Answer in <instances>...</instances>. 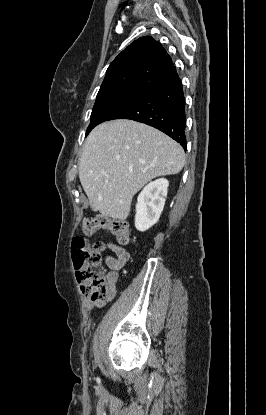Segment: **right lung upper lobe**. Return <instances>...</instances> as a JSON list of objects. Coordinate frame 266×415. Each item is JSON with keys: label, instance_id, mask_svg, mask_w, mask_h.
Listing matches in <instances>:
<instances>
[{"label": "right lung upper lobe", "instance_id": "cb5924a9", "mask_svg": "<svg viewBox=\"0 0 266 415\" xmlns=\"http://www.w3.org/2000/svg\"><path fill=\"white\" fill-rule=\"evenodd\" d=\"M178 77L172 59L150 36L137 39L110 64L99 93L133 89L151 92Z\"/></svg>", "mask_w": 266, "mask_h": 415}]
</instances>
